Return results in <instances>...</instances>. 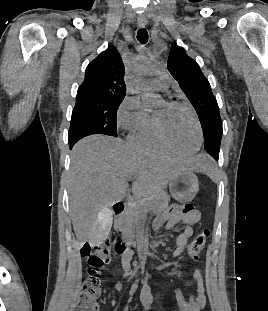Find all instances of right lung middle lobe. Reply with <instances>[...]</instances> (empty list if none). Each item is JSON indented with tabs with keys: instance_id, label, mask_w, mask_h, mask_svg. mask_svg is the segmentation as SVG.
Instances as JSON below:
<instances>
[{
	"instance_id": "dd1d6c3e",
	"label": "right lung middle lobe",
	"mask_w": 268,
	"mask_h": 311,
	"mask_svg": "<svg viewBox=\"0 0 268 311\" xmlns=\"http://www.w3.org/2000/svg\"><path fill=\"white\" fill-rule=\"evenodd\" d=\"M122 101L123 98L77 95L68 136H73L77 132L85 130L91 134L117 137L116 116Z\"/></svg>"
}]
</instances>
